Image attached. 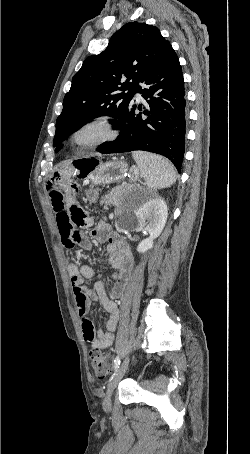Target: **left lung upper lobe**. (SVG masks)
<instances>
[{
    "label": "left lung upper lobe",
    "mask_w": 250,
    "mask_h": 454,
    "mask_svg": "<svg viewBox=\"0 0 250 454\" xmlns=\"http://www.w3.org/2000/svg\"><path fill=\"white\" fill-rule=\"evenodd\" d=\"M172 51L170 42L155 26L135 21L115 32L105 51L87 57L74 75L56 121L55 151L62 148V142L71 133L93 118L112 116L110 123L117 128L138 83L154 72Z\"/></svg>",
    "instance_id": "left-lung-upper-lobe-1"
}]
</instances>
